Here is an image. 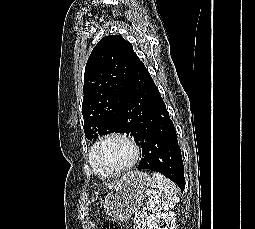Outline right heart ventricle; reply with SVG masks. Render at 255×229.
<instances>
[{
	"mask_svg": "<svg viewBox=\"0 0 255 229\" xmlns=\"http://www.w3.org/2000/svg\"><path fill=\"white\" fill-rule=\"evenodd\" d=\"M89 163L91 165L92 170L94 171V173L99 176L100 178H110V176L97 164L92 163L91 161V154L89 153Z\"/></svg>",
	"mask_w": 255,
	"mask_h": 229,
	"instance_id": "1",
	"label": "right heart ventricle"
}]
</instances>
